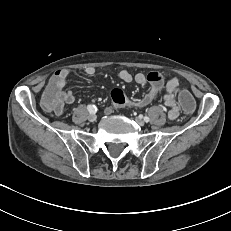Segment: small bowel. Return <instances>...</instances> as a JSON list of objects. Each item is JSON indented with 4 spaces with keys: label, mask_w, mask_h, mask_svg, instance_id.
Segmentation results:
<instances>
[{
    "label": "small bowel",
    "mask_w": 231,
    "mask_h": 231,
    "mask_svg": "<svg viewBox=\"0 0 231 231\" xmlns=\"http://www.w3.org/2000/svg\"><path fill=\"white\" fill-rule=\"evenodd\" d=\"M62 71V77L59 79L58 86L56 87V102L48 108L52 110L56 115H62L64 112L65 104H71L75 100L74 91L72 89H65L67 79L69 76V70L60 69ZM84 72L88 76L95 74V69L88 66L84 69ZM119 78L125 83L135 82L141 86L149 85V91L138 98L128 99L126 104L135 107H144L149 105L161 89L165 88L164 102L169 108L168 117L170 120H174L178 117L180 112V105L178 103L177 90L182 88L177 77L170 78L164 83L163 77L159 72H151L147 75L137 73L133 75L127 70H121L118 74Z\"/></svg>",
    "instance_id": "small-bowel-1"
}]
</instances>
